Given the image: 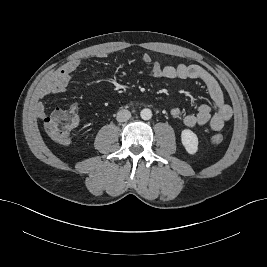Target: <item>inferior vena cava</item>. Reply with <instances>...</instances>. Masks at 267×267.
<instances>
[{"label": "inferior vena cava", "mask_w": 267, "mask_h": 267, "mask_svg": "<svg viewBox=\"0 0 267 267\" xmlns=\"http://www.w3.org/2000/svg\"><path fill=\"white\" fill-rule=\"evenodd\" d=\"M130 118H131V113L126 109L119 110L116 117L118 122H125Z\"/></svg>", "instance_id": "1"}]
</instances>
